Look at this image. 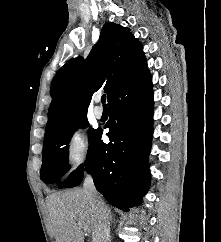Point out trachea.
<instances>
[{
  "mask_svg": "<svg viewBox=\"0 0 221 242\" xmlns=\"http://www.w3.org/2000/svg\"><path fill=\"white\" fill-rule=\"evenodd\" d=\"M101 101H102L103 104H105V102H106V95H103V96L101 97Z\"/></svg>",
  "mask_w": 221,
  "mask_h": 242,
  "instance_id": "trachea-1",
  "label": "trachea"
}]
</instances>
